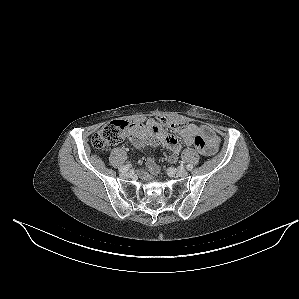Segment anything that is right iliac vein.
Returning <instances> with one entry per match:
<instances>
[{
  "mask_svg": "<svg viewBox=\"0 0 299 299\" xmlns=\"http://www.w3.org/2000/svg\"><path fill=\"white\" fill-rule=\"evenodd\" d=\"M121 177L122 178H129L130 177V173L129 172H123V173H121Z\"/></svg>",
  "mask_w": 299,
  "mask_h": 299,
  "instance_id": "1",
  "label": "right iliac vein"
}]
</instances>
